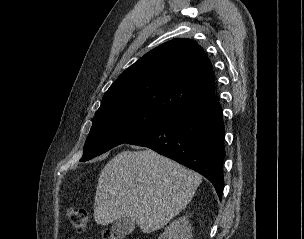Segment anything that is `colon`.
Returning a JSON list of instances; mask_svg holds the SVG:
<instances>
[{"mask_svg": "<svg viewBox=\"0 0 304 239\" xmlns=\"http://www.w3.org/2000/svg\"><path fill=\"white\" fill-rule=\"evenodd\" d=\"M67 218L73 229L77 232H85L89 223L88 212L84 208L71 207L67 211ZM101 239H123L111 230H104Z\"/></svg>", "mask_w": 304, "mask_h": 239, "instance_id": "obj_1", "label": "colon"}]
</instances>
